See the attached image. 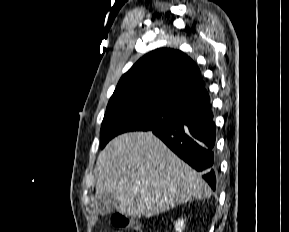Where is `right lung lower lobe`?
Instances as JSON below:
<instances>
[{
	"label": "right lung lower lobe",
	"instance_id": "98d812e1",
	"mask_svg": "<svg viewBox=\"0 0 289 232\" xmlns=\"http://www.w3.org/2000/svg\"><path fill=\"white\" fill-rule=\"evenodd\" d=\"M151 131L195 170L213 190L216 188L217 161L214 153L216 127L211 105L182 110L177 118Z\"/></svg>",
	"mask_w": 289,
	"mask_h": 232
}]
</instances>
